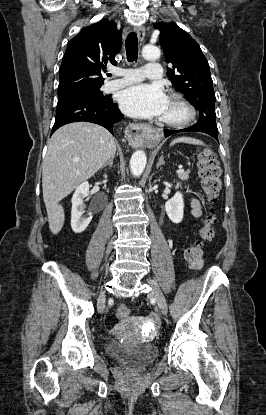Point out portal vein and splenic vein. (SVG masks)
I'll use <instances>...</instances> for the list:
<instances>
[{
  "mask_svg": "<svg viewBox=\"0 0 266 415\" xmlns=\"http://www.w3.org/2000/svg\"><path fill=\"white\" fill-rule=\"evenodd\" d=\"M176 172H177L178 174H179V173H183V172H184V169L179 168Z\"/></svg>",
  "mask_w": 266,
  "mask_h": 415,
  "instance_id": "portal-vein-and-splenic-vein-1",
  "label": "portal vein and splenic vein"
}]
</instances>
